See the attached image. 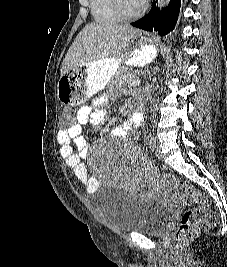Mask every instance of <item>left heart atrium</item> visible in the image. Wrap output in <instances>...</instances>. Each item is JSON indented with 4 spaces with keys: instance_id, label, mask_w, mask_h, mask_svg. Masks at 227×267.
<instances>
[{
    "instance_id": "left-heart-atrium-1",
    "label": "left heart atrium",
    "mask_w": 227,
    "mask_h": 267,
    "mask_svg": "<svg viewBox=\"0 0 227 267\" xmlns=\"http://www.w3.org/2000/svg\"><path fill=\"white\" fill-rule=\"evenodd\" d=\"M137 2H138V4L141 6V7H143L145 4H146V2H147V0H136Z\"/></svg>"
}]
</instances>
